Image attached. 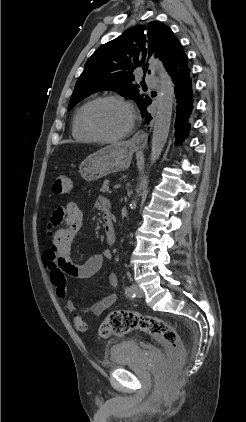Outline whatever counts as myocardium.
Segmentation results:
<instances>
[{
  "instance_id": "1",
  "label": "myocardium",
  "mask_w": 246,
  "mask_h": 422,
  "mask_svg": "<svg viewBox=\"0 0 246 422\" xmlns=\"http://www.w3.org/2000/svg\"><path fill=\"white\" fill-rule=\"evenodd\" d=\"M106 101H113V102L120 103L129 110V113H130L129 126L127 127V129L124 132H122L119 135L105 136V135L99 133L94 128V126L91 122V112H92L93 108L96 105H98L99 103L106 102ZM83 123H84V127L87 130V132L96 141L103 142V143H114V142L123 140L124 138L128 137L132 133V131L135 127V123H136V112H135L133 105L129 101L124 99L123 97L118 96V95H104V96L97 97V98L93 99L92 101H90L88 103V105L85 108L84 114H83Z\"/></svg>"
}]
</instances>
